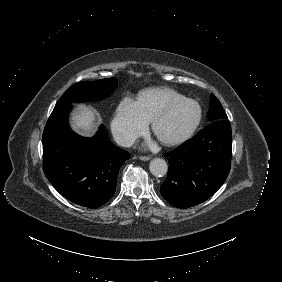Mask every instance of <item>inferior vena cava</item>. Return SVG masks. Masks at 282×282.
Returning <instances> with one entry per match:
<instances>
[{"label":"inferior vena cava","instance_id":"obj_1","mask_svg":"<svg viewBox=\"0 0 282 282\" xmlns=\"http://www.w3.org/2000/svg\"><path fill=\"white\" fill-rule=\"evenodd\" d=\"M113 134V138L115 140V142L123 147H130L134 144L135 140H136V136H134L131 132H129L128 130H118V129H114L112 131Z\"/></svg>","mask_w":282,"mask_h":282}]
</instances>
